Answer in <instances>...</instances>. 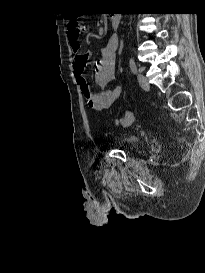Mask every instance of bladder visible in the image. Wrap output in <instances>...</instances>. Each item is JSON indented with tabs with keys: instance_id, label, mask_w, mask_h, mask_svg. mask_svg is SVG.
Segmentation results:
<instances>
[{
	"instance_id": "1",
	"label": "bladder",
	"mask_w": 205,
	"mask_h": 273,
	"mask_svg": "<svg viewBox=\"0 0 205 273\" xmlns=\"http://www.w3.org/2000/svg\"><path fill=\"white\" fill-rule=\"evenodd\" d=\"M123 143L130 147H135L138 144V139L134 136H127L123 139Z\"/></svg>"
}]
</instances>
